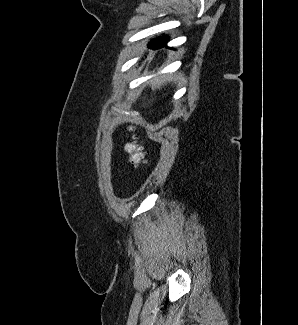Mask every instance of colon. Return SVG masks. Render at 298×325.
<instances>
[{
  "label": "colon",
  "mask_w": 298,
  "mask_h": 325,
  "mask_svg": "<svg viewBox=\"0 0 298 325\" xmlns=\"http://www.w3.org/2000/svg\"><path fill=\"white\" fill-rule=\"evenodd\" d=\"M133 131V128L130 129ZM125 152L128 154V160L134 168H140L146 159V153L141 143L137 142L134 137L125 145Z\"/></svg>",
  "instance_id": "colon-1"
}]
</instances>
